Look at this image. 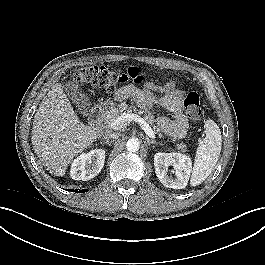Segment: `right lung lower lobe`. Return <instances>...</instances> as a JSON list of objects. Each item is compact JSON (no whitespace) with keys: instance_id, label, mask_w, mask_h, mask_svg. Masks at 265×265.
Wrapping results in <instances>:
<instances>
[{"instance_id":"98d812e1","label":"right lung lower lobe","mask_w":265,"mask_h":265,"mask_svg":"<svg viewBox=\"0 0 265 265\" xmlns=\"http://www.w3.org/2000/svg\"><path fill=\"white\" fill-rule=\"evenodd\" d=\"M86 191L87 190H79V191L78 190H72V192H79V193H81V192L83 193V192H86Z\"/></svg>"}]
</instances>
